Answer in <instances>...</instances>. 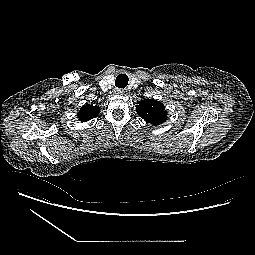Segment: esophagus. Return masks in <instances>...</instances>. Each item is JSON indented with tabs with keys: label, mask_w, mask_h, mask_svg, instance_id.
Instances as JSON below:
<instances>
[{
	"label": "esophagus",
	"mask_w": 255,
	"mask_h": 255,
	"mask_svg": "<svg viewBox=\"0 0 255 255\" xmlns=\"http://www.w3.org/2000/svg\"><path fill=\"white\" fill-rule=\"evenodd\" d=\"M115 93L118 95H123L124 94V90L123 89H116Z\"/></svg>",
	"instance_id": "1"
}]
</instances>
